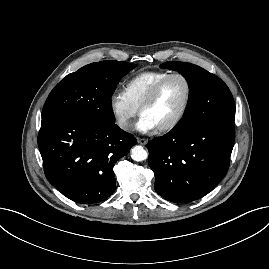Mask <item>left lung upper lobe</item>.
Masks as SVG:
<instances>
[{"label":"left lung upper lobe","instance_id":"obj_1","mask_svg":"<svg viewBox=\"0 0 269 269\" xmlns=\"http://www.w3.org/2000/svg\"><path fill=\"white\" fill-rule=\"evenodd\" d=\"M160 67L178 71L190 87L188 107L173 131L186 132L214 120H235L232 94L216 75L197 65L180 61L165 62Z\"/></svg>","mask_w":269,"mask_h":269}]
</instances>
